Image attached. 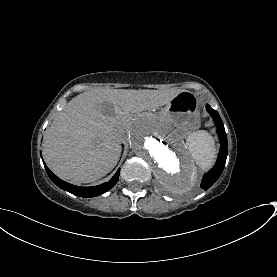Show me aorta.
Wrapping results in <instances>:
<instances>
[{"instance_id": "aorta-1", "label": "aorta", "mask_w": 277, "mask_h": 277, "mask_svg": "<svg viewBox=\"0 0 277 277\" xmlns=\"http://www.w3.org/2000/svg\"><path fill=\"white\" fill-rule=\"evenodd\" d=\"M129 142L165 190L184 194L193 189L197 179L195 165L181 138L160 118H138L130 127Z\"/></svg>"}]
</instances>
